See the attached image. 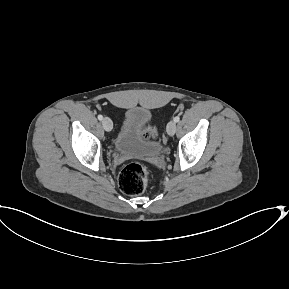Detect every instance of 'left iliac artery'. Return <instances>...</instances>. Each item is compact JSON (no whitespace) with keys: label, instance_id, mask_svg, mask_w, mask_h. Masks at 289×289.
Returning <instances> with one entry per match:
<instances>
[{"label":"left iliac artery","instance_id":"1","mask_svg":"<svg viewBox=\"0 0 289 289\" xmlns=\"http://www.w3.org/2000/svg\"><path fill=\"white\" fill-rule=\"evenodd\" d=\"M179 120H180V117H179V116H176V117L174 118V121H175V122H179Z\"/></svg>","mask_w":289,"mask_h":289}]
</instances>
